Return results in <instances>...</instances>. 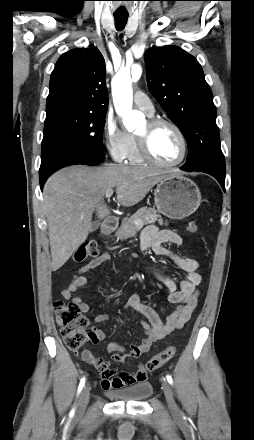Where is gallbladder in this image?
I'll return each mask as SVG.
<instances>
[{
    "mask_svg": "<svg viewBox=\"0 0 254 440\" xmlns=\"http://www.w3.org/2000/svg\"><path fill=\"white\" fill-rule=\"evenodd\" d=\"M100 226V221L99 220H95L92 223V227H91V232L96 231Z\"/></svg>",
    "mask_w": 254,
    "mask_h": 440,
    "instance_id": "bac80fb5",
    "label": "gallbladder"
}]
</instances>
